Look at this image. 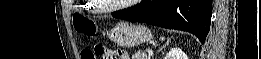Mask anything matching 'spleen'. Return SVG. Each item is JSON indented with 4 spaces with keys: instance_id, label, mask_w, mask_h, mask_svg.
I'll return each mask as SVG.
<instances>
[{
    "instance_id": "obj_1",
    "label": "spleen",
    "mask_w": 261,
    "mask_h": 59,
    "mask_svg": "<svg viewBox=\"0 0 261 59\" xmlns=\"http://www.w3.org/2000/svg\"><path fill=\"white\" fill-rule=\"evenodd\" d=\"M160 39H161L162 41L165 40L164 36L160 37Z\"/></svg>"
}]
</instances>
